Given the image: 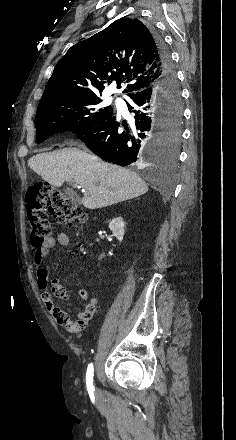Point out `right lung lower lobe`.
Returning <instances> with one entry per match:
<instances>
[{"label": "right lung lower lobe", "instance_id": "1", "mask_svg": "<svg viewBox=\"0 0 236 440\" xmlns=\"http://www.w3.org/2000/svg\"><path fill=\"white\" fill-rule=\"evenodd\" d=\"M149 29L158 50L162 74L156 83L128 95V110L134 113L135 119L130 129L113 114L99 125L77 134L93 153L121 166H144L154 161L161 151L160 139L167 123L176 121V112L182 109L181 96L174 97L178 84L170 54L162 37L153 28Z\"/></svg>", "mask_w": 236, "mask_h": 440}]
</instances>
